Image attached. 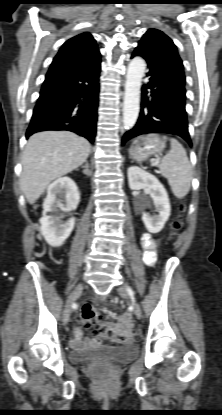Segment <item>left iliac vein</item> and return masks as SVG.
Instances as JSON below:
<instances>
[{"mask_svg":"<svg viewBox=\"0 0 222 415\" xmlns=\"http://www.w3.org/2000/svg\"><path fill=\"white\" fill-rule=\"evenodd\" d=\"M117 291H118V294L121 296V297H123V298H125V299H129L130 297H129V295H128V292H127V289H126V287L125 286H120L118 289H117ZM132 305H133V309H134V314L137 316V317H141L142 316V309H141V306L137 303V302H135V301H132Z\"/></svg>","mask_w":222,"mask_h":415,"instance_id":"4c4485c4","label":"left iliac vein"}]
</instances>
